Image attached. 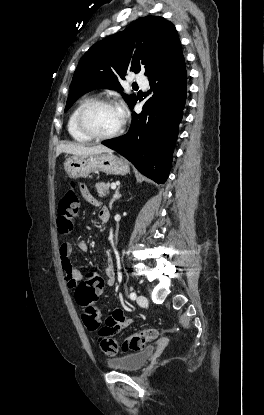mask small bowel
Wrapping results in <instances>:
<instances>
[{
	"mask_svg": "<svg viewBox=\"0 0 264 415\" xmlns=\"http://www.w3.org/2000/svg\"><path fill=\"white\" fill-rule=\"evenodd\" d=\"M85 198L88 201H90L93 205L99 207V211H98L99 221L102 224L107 223L110 218V212L108 208L101 206L100 202L96 200L89 192L85 193ZM77 248L79 249V251L86 253L89 249V246L85 241H80L77 243ZM72 251H73V248L70 243L64 242L59 246L60 263H61V267L63 271L65 272L68 286L73 290H77V287L79 286L80 283H82L85 280V277L79 269L73 266L72 261H71ZM104 261H105V266H104L103 271H104L105 278L103 280V283L100 289H102L104 286L111 287L115 285L116 283V275H115V269H114V264H113V258L110 252H105ZM131 324H132V321L125 316L124 312L121 309H115L112 313V316H110L107 319L106 325L104 326V328L111 335V334L121 331L122 329L130 326Z\"/></svg>",
	"mask_w": 264,
	"mask_h": 415,
	"instance_id": "small-bowel-1",
	"label": "small bowel"
}]
</instances>
